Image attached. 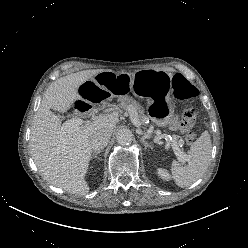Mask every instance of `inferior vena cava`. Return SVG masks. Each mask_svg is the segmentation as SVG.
Segmentation results:
<instances>
[{"mask_svg": "<svg viewBox=\"0 0 248 248\" xmlns=\"http://www.w3.org/2000/svg\"><path fill=\"white\" fill-rule=\"evenodd\" d=\"M110 137L111 132L108 129L99 130L90 137V147L95 151L102 150L107 146Z\"/></svg>", "mask_w": 248, "mask_h": 248, "instance_id": "602c4592", "label": "inferior vena cava"}]
</instances>
